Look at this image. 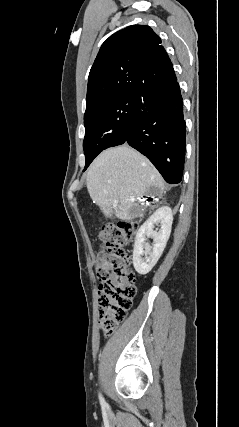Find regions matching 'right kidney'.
I'll list each match as a JSON object with an SVG mask.
<instances>
[{
  "label": "right kidney",
  "mask_w": 239,
  "mask_h": 427,
  "mask_svg": "<svg viewBox=\"0 0 239 427\" xmlns=\"http://www.w3.org/2000/svg\"><path fill=\"white\" fill-rule=\"evenodd\" d=\"M172 222L171 208L163 206L157 209L138 230L134 243L133 265L139 274L149 273L159 260L169 239ZM155 224H160L158 232L154 230ZM148 237H151L154 242L152 251H150V246L146 244Z\"/></svg>",
  "instance_id": "ca27d5eb"
}]
</instances>
